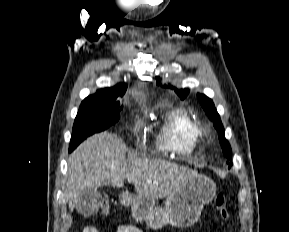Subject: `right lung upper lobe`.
I'll list each match as a JSON object with an SVG mask.
<instances>
[{"instance_id":"right-lung-upper-lobe-1","label":"right lung upper lobe","mask_w":289,"mask_h":232,"mask_svg":"<svg viewBox=\"0 0 289 232\" xmlns=\"http://www.w3.org/2000/svg\"><path fill=\"white\" fill-rule=\"evenodd\" d=\"M125 91H126V84H118L113 88H105L98 90L96 94L91 95L86 99H96V98L116 99L118 96H123Z\"/></svg>"}]
</instances>
